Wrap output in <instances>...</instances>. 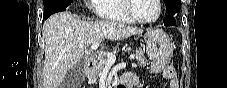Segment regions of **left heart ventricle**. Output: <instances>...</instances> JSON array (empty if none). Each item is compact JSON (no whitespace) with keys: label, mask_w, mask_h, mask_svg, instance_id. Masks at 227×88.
<instances>
[{"label":"left heart ventricle","mask_w":227,"mask_h":88,"mask_svg":"<svg viewBox=\"0 0 227 88\" xmlns=\"http://www.w3.org/2000/svg\"><path fill=\"white\" fill-rule=\"evenodd\" d=\"M132 10L137 18L143 20L153 19L158 14V8L154 0H134Z\"/></svg>","instance_id":"1"}]
</instances>
